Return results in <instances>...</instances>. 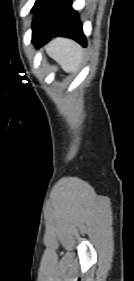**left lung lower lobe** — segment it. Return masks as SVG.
<instances>
[{"instance_id": "left-lung-lower-lobe-1", "label": "left lung lower lobe", "mask_w": 134, "mask_h": 281, "mask_svg": "<svg viewBox=\"0 0 134 281\" xmlns=\"http://www.w3.org/2000/svg\"><path fill=\"white\" fill-rule=\"evenodd\" d=\"M35 46L45 44L49 38L64 36L86 46L78 14L71 8V0H40L35 8L32 25Z\"/></svg>"}]
</instances>
